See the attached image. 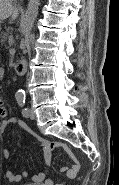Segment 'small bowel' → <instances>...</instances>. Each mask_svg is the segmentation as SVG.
Masks as SVG:
<instances>
[{"mask_svg":"<svg viewBox=\"0 0 119 185\" xmlns=\"http://www.w3.org/2000/svg\"><path fill=\"white\" fill-rule=\"evenodd\" d=\"M3 75H4V70L0 69V77L2 78ZM0 115L2 117L1 132L3 134L7 131V129L9 128L10 125L20 126V127L24 128L25 130H27L28 132L33 134L31 129L23 122H21L17 119H14V118H10V119L6 118V109L3 105V103H0ZM34 136L38 140L39 144L43 147L45 164L47 166L50 165L52 150L55 148H61L69 155V157L71 159V165L69 167H61L60 170H61V172L65 173V175L68 179L76 178V176L80 170V163L77 160V158L75 157V155L73 154V152L63 143L51 142V141L44 139L42 137H39L35 134H34ZM2 154L5 159L10 158V152L7 148H3ZM4 174L10 182H19L24 177L27 176V173H25V172L21 173V174H15L10 169H5ZM32 180L34 182H41V183H43L42 185H54L51 179H46V174L44 172H40V173L34 175L32 177ZM56 185H65V183L56 184Z\"/></svg>","mask_w":119,"mask_h":185,"instance_id":"1","label":"small bowel"}]
</instances>
